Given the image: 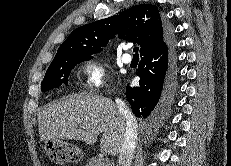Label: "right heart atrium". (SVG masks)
<instances>
[{
	"instance_id": "right-heart-atrium-1",
	"label": "right heart atrium",
	"mask_w": 231,
	"mask_h": 166,
	"mask_svg": "<svg viewBox=\"0 0 231 166\" xmlns=\"http://www.w3.org/2000/svg\"><path fill=\"white\" fill-rule=\"evenodd\" d=\"M85 88L99 91L104 87L106 72L103 62L97 58L87 59L82 65Z\"/></svg>"
}]
</instances>
